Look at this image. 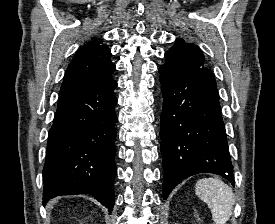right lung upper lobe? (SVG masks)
Instances as JSON below:
<instances>
[{
    "label": "right lung upper lobe",
    "mask_w": 275,
    "mask_h": 224,
    "mask_svg": "<svg viewBox=\"0 0 275 224\" xmlns=\"http://www.w3.org/2000/svg\"><path fill=\"white\" fill-rule=\"evenodd\" d=\"M111 52L102 41H92L77 50L69 64L60 95L80 91L112 80L115 65L110 61Z\"/></svg>",
    "instance_id": "cb5924a9"
}]
</instances>
